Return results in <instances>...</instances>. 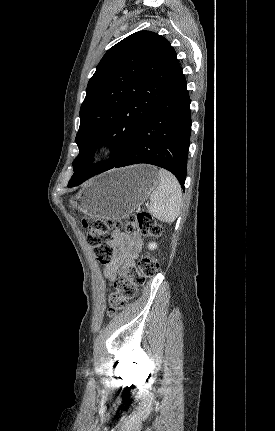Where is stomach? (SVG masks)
Listing matches in <instances>:
<instances>
[{
    "instance_id": "obj_1",
    "label": "stomach",
    "mask_w": 275,
    "mask_h": 431,
    "mask_svg": "<svg viewBox=\"0 0 275 431\" xmlns=\"http://www.w3.org/2000/svg\"><path fill=\"white\" fill-rule=\"evenodd\" d=\"M159 180L157 169L147 164L113 169L72 196L70 205L90 217L121 219L144 203Z\"/></svg>"
}]
</instances>
